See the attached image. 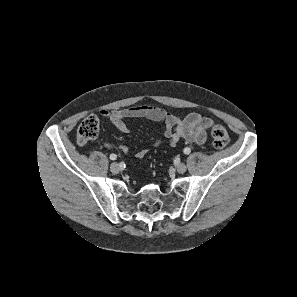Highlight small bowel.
Instances as JSON below:
<instances>
[{"instance_id": "obj_1", "label": "small bowel", "mask_w": 297, "mask_h": 297, "mask_svg": "<svg viewBox=\"0 0 297 297\" xmlns=\"http://www.w3.org/2000/svg\"><path fill=\"white\" fill-rule=\"evenodd\" d=\"M100 115L108 119L122 133L130 132V127L126 123L128 118H146L162 123L164 138L154 140L152 146L155 147L165 143L174 146L180 140L201 145L205 142L207 131L212 125V120L198 113H190L181 118L155 105H135L113 111L103 110ZM104 146L112 148L113 145L105 142ZM120 148L127 150L123 145ZM147 153L148 149H140L135 153V156L143 158Z\"/></svg>"}]
</instances>
